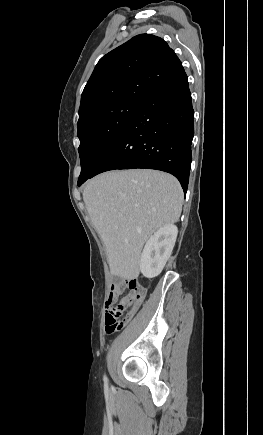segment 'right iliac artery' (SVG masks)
<instances>
[{"label":"right iliac artery","instance_id":"82829eb1","mask_svg":"<svg viewBox=\"0 0 263 435\" xmlns=\"http://www.w3.org/2000/svg\"><path fill=\"white\" fill-rule=\"evenodd\" d=\"M103 380H104L105 384H107V382H108V379H107V377H106V376H104Z\"/></svg>","mask_w":263,"mask_h":435}]
</instances>
